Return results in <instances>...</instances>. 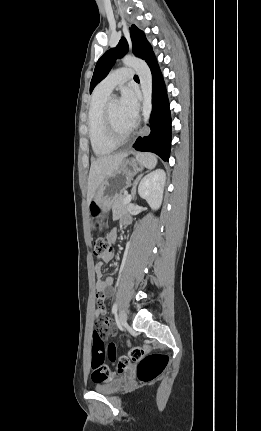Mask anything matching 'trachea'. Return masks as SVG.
<instances>
[{"instance_id": "1", "label": "trachea", "mask_w": 261, "mask_h": 431, "mask_svg": "<svg viewBox=\"0 0 261 431\" xmlns=\"http://www.w3.org/2000/svg\"><path fill=\"white\" fill-rule=\"evenodd\" d=\"M134 79H139V77L137 75L134 76Z\"/></svg>"}]
</instances>
